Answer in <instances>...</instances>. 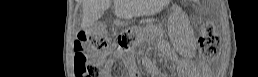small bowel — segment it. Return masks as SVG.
<instances>
[{"label": "small bowel", "mask_w": 258, "mask_h": 77, "mask_svg": "<svg viewBox=\"0 0 258 77\" xmlns=\"http://www.w3.org/2000/svg\"><path fill=\"white\" fill-rule=\"evenodd\" d=\"M88 58L97 64H102L104 62V56L96 51L89 52Z\"/></svg>", "instance_id": "obj_1"}]
</instances>
